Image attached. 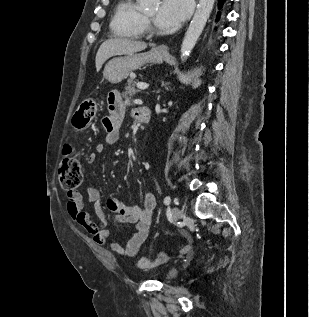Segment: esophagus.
<instances>
[{
	"mask_svg": "<svg viewBox=\"0 0 309 317\" xmlns=\"http://www.w3.org/2000/svg\"><path fill=\"white\" fill-rule=\"evenodd\" d=\"M159 50L162 51V52H167L168 51V46L167 45H161L159 47Z\"/></svg>",
	"mask_w": 309,
	"mask_h": 317,
	"instance_id": "obj_1",
	"label": "esophagus"
}]
</instances>
